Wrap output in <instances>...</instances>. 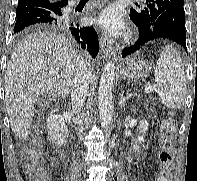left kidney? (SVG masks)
I'll use <instances>...</instances> for the list:
<instances>
[{"mask_svg": "<svg viewBox=\"0 0 197 181\" xmlns=\"http://www.w3.org/2000/svg\"><path fill=\"white\" fill-rule=\"evenodd\" d=\"M148 127H149L148 121L145 120V119L141 120L140 123H139V127H138L139 128V132L145 134V132L148 130ZM134 141L135 142L132 143L133 151L137 152V151H139L140 144L145 142L144 136L140 135Z\"/></svg>", "mask_w": 197, "mask_h": 181, "instance_id": "left-kidney-1", "label": "left kidney"}]
</instances>
